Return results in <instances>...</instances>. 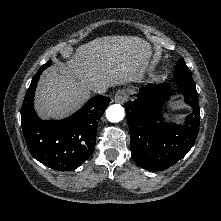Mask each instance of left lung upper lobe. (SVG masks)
Listing matches in <instances>:
<instances>
[{
  "mask_svg": "<svg viewBox=\"0 0 221 221\" xmlns=\"http://www.w3.org/2000/svg\"><path fill=\"white\" fill-rule=\"evenodd\" d=\"M176 74H191L183 59H180L178 64L174 68V75Z\"/></svg>",
  "mask_w": 221,
  "mask_h": 221,
  "instance_id": "1",
  "label": "left lung upper lobe"
}]
</instances>
